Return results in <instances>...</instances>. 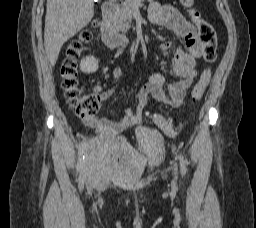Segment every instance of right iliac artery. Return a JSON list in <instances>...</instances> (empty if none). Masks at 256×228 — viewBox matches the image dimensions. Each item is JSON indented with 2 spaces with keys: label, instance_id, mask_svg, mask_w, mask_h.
Segmentation results:
<instances>
[{
  "label": "right iliac artery",
  "instance_id": "obj_1",
  "mask_svg": "<svg viewBox=\"0 0 256 228\" xmlns=\"http://www.w3.org/2000/svg\"><path fill=\"white\" fill-rule=\"evenodd\" d=\"M82 146L79 149L78 152V162H77V172L80 174V180H83V173H84V167H85V155H86V144L85 140H82Z\"/></svg>",
  "mask_w": 256,
  "mask_h": 228
}]
</instances>
